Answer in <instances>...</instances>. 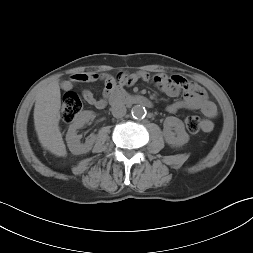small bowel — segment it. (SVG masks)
I'll list each match as a JSON object with an SVG mask.
<instances>
[{
    "label": "small bowel",
    "mask_w": 253,
    "mask_h": 253,
    "mask_svg": "<svg viewBox=\"0 0 253 253\" xmlns=\"http://www.w3.org/2000/svg\"><path fill=\"white\" fill-rule=\"evenodd\" d=\"M149 79L150 75L144 71L133 74L121 72L116 77L98 73H77L64 81L62 88L64 90H71L78 84L103 81L105 83V90H107L117 82L130 85L138 80L148 81ZM152 81L162 92L170 97H177L181 93L183 94L181 99L167 106L168 112L177 113L180 110H200L205 116L202 130L209 132L213 129L214 123L212 120L217 115V107L208 99L203 88L179 75L169 76L164 73H158L152 77ZM82 95L89 104L99 109L103 108V98H97L90 90H84Z\"/></svg>",
    "instance_id": "obj_1"
}]
</instances>
